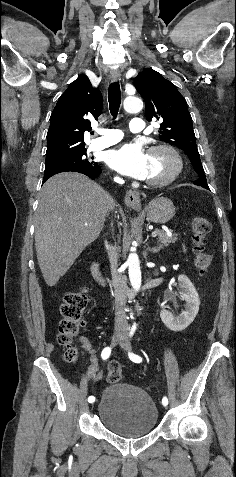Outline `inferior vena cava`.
Segmentation results:
<instances>
[{
	"label": "inferior vena cava",
	"mask_w": 236,
	"mask_h": 477,
	"mask_svg": "<svg viewBox=\"0 0 236 477\" xmlns=\"http://www.w3.org/2000/svg\"><path fill=\"white\" fill-rule=\"evenodd\" d=\"M118 183H123V180L116 178ZM109 259L111 264L112 284L114 287V297L116 305L115 322L117 325L128 326L127 317L124 312L127 299V285L125 277L118 272V256L117 247L111 246L109 252Z\"/></svg>",
	"instance_id": "602c4592"
}]
</instances>
